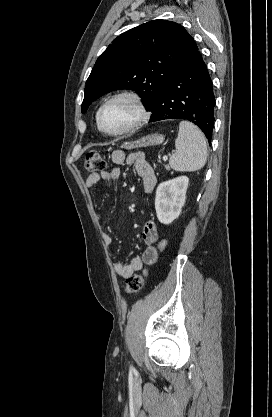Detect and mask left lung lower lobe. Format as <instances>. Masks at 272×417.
<instances>
[{
  "mask_svg": "<svg viewBox=\"0 0 272 417\" xmlns=\"http://www.w3.org/2000/svg\"><path fill=\"white\" fill-rule=\"evenodd\" d=\"M215 97L207 67L197 51L173 75L158 95L150 122L185 119L196 124L210 141Z\"/></svg>",
  "mask_w": 272,
  "mask_h": 417,
  "instance_id": "1",
  "label": "left lung lower lobe"
}]
</instances>
